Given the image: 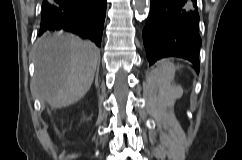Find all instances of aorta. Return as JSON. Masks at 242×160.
<instances>
[{
    "label": "aorta",
    "mask_w": 242,
    "mask_h": 160,
    "mask_svg": "<svg viewBox=\"0 0 242 160\" xmlns=\"http://www.w3.org/2000/svg\"><path fill=\"white\" fill-rule=\"evenodd\" d=\"M134 6L139 14H145L149 10V0H134Z\"/></svg>",
    "instance_id": "1"
}]
</instances>
